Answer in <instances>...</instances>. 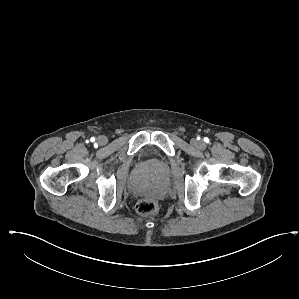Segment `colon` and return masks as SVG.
Masks as SVG:
<instances>
[{"label": "colon", "instance_id": "obj_1", "mask_svg": "<svg viewBox=\"0 0 299 299\" xmlns=\"http://www.w3.org/2000/svg\"><path fill=\"white\" fill-rule=\"evenodd\" d=\"M136 210L142 216H150L157 212L158 203L154 199L145 198L138 202Z\"/></svg>", "mask_w": 299, "mask_h": 299}]
</instances>
